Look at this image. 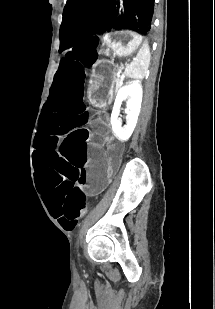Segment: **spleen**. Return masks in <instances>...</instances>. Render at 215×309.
I'll return each instance as SVG.
<instances>
[{
	"instance_id": "1",
	"label": "spleen",
	"mask_w": 215,
	"mask_h": 309,
	"mask_svg": "<svg viewBox=\"0 0 215 309\" xmlns=\"http://www.w3.org/2000/svg\"><path fill=\"white\" fill-rule=\"evenodd\" d=\"M150 64V50L148 42H143L138 54H136L133 62L127 64L124 72L130 78H144L146 70Z\"/></svg>"
}]
</instances>
